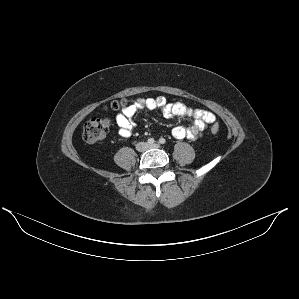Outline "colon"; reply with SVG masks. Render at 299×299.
I'll use <instances>...</instances> for the list:
<instances>
[{
    "label": "colon",
    "instance_id": "5ec220e1",
    "mask_svg": "<svg viewBox=\"0 0 299 299\" xmlns=\"http://www.w3.org/2000/svg\"><path fill=\"white\" fill-rule=\"evenodd\" d=\"M129 104L128 100H118L114 101L110 104L109 109L112 111H119L121 109H124ZM111 122L107 118H91L89 119L83 129V139L86 142H96L99 140L104 139L110 129ZM211 131L213 133L219 132V126L218 124L214 123L211 126Z\"/></svg>",
    "mask_w": 299,
    "mask_h": 299
}]
</instances>
